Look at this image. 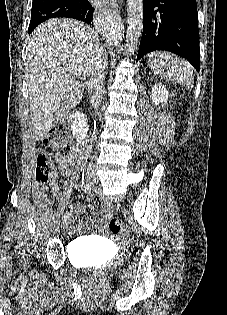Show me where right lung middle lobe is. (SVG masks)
Instances as JSON below:
<instances>
[{
	"label": "right lung middle lobe",
	"mask_w": 227,
	"mask_h": 315,
	"mask_svg": "<svg viewBox=\"0 0 227 315\" xmlns=\"http://www.w3.org/2000/svg\"><path fill=\"white\" fill-rule=\"evenodd\" d=\"M80 0H33L29 34L42 22L62 17L65 8H69Z\"/></svg>",
	"instance_id": "1"
}]
</instances>
